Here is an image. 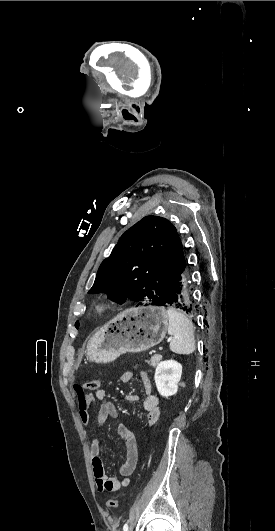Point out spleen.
<instances>
[{
    "label": "spleen",
    "mask_w": 275,
    "mask_h": 531,
    "mask_svg": "<svg viewBox=\"0 0 275 531\" xmlns=\"http://www.w3.org/2000/svg\"><path fill=\"white\" fill-rule=\"evenodd\" d=\"M168 335H172L170 351L177 355H190L195 351L194 329L186 315L176 309H168Z\"/></svg>",
    "instance_id": "3e777b00"
}]
</instances>
